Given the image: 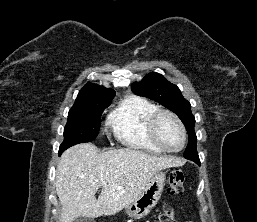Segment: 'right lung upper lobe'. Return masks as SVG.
<instances>
[{
	"label": "right lung upper lobe",
	"instance_id": "cb5924a9",
	"mask_svg": "<svg viewBox=\"0 0 257 222\" xmlns=\"http://www.w3.org/2000/svg\"><path fill=\"white\" fill-rule=\"evenodd\" d=\"M115 96V91L111 88H105L96 84L87 83L79 91L75 103L84 101H95V100H112Z\"/></svg>",
	"mask_w": 257,
	"mask_h": 222
}]
</instances>
